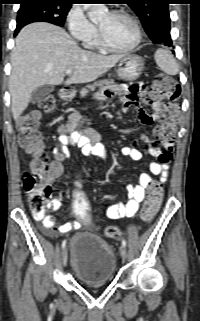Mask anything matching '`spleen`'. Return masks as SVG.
I'll return each instance as SVG.
<instances>
[{"instance_id": "3e777b00", "label": "spleen", "mask_w": 200, "mask_h": 321, "mask_svg": "<svg viewBox=\"0 0 200 321\" xmlns=\"http://www.w3.org/2000/svg\"><path fill=\"white\" fill-rule=\"evenodd\" d=\"M155 61L158 67L167 75H176L179 71L177 61L171 52L167 49L160 48L155 52Z\"/></svg>"}]
</instances>
